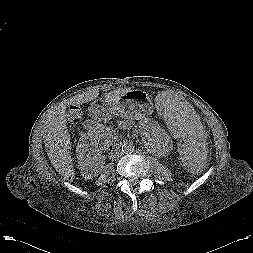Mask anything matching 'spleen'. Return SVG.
Wrapping results in <instances>:
<instances>
[{
    "instance_id": "spleen-1",
    "label": "spleen",
    "mask_w": 253,
    "mask_h": 253,
    "mask_svg": "<svg viewBox=\"0 0 253 253\" xmlns=\"http://www.w3.org/2000/svg\"><path fill=\"white\" fill-rule=\"evenodd\" d=\"M155 111L178 145L183 169L189 173L205 170L210 163L212 142L195 104L175 91H164L155 100Z\"/></svg>"
}]
</instances>
